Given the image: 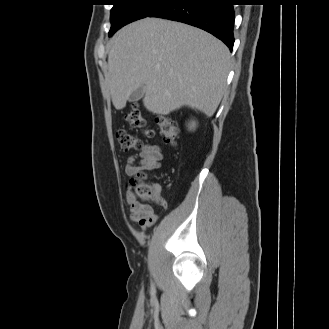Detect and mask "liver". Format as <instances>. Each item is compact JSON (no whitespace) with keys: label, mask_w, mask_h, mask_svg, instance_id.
<instances>
[{"label":"liver","mask_w":329,"mask_h":329,"mask_svg":"<svg viewBox=\"0 0 329 329\" xmlns=\"http://www.w3.org/2000/svg\"><path fill=\"white\" fill-rule=\"evenodd\" d=\"M107 86L117 110L144 87L145 108L168 115L182 106L212 116L226 88L230 52L211 34L190 25L145 18L110 41Z\"/></svg>","instance_id":"1"}]
</instances>
